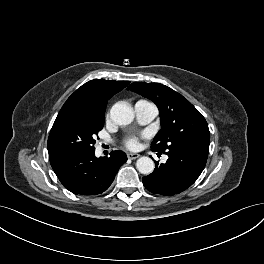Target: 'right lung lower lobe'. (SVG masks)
I'll use <instances>...</instances> for the list:
<instances>
[{
    "label": "right lung lower lobe",
    "instance_id": "1",
    "mask_svg": "<svg viewBox=\"0 0 264 264\" xmlns=\"http://www.w3.org/2000/svg\"><path fill=\"white\" fill-rule=\"evenodd\" d=\"M126 161V154L116 150L110 157L96 158L94 152L71 155L52 162L51 166L63 186L72 193L96 195L109 188Z\"/></svg>",
    "mask_w": 264,
    "mask_h": 264
}]
</instances>
